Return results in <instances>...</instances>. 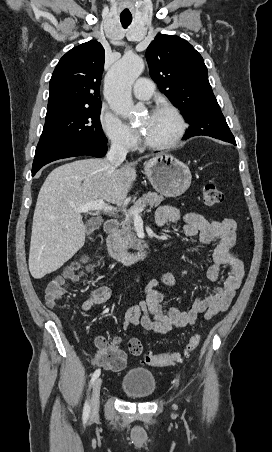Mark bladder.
I'll list each match as a JSON object with an SVG mask.
<instances>
[{
    "instance_id": "1",
    "label": "bladder",
    "mask_w": 272,
    "mask_h": 452,
    "mask_svg": "<svg viewBox=\"0 0 272 452\" xmlns=\"http://www.w3.org/2000/svg\"><path fill=\"white\" fill-rule=\"evenodd\" d=\"M123 393L132 399H146L155 394L157 385L154 374L141 367L128 369L120 383Z\"/></svg>"
}]
</instances>
